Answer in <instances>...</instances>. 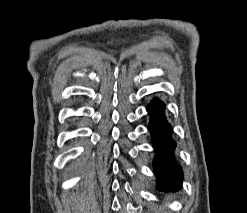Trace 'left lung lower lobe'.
<instances>
[{"mask_svg":"<svg viewBox=\"0 0 247 213\" xmlns=\"http://www.w3.org/2000/svg\"><path fill=\"white\" fill-rule=\"evenodd\" d=\"M164 109L165 105L159 99H153L147 106L151 115L148 128L156 151L153 166L158 178L157 189L166 192L181 187L183 174L172 154L176 144L170 136L171 127L166 121Z\"/></svg>","mask_w":247,"mask_h":213,"instance_id":"1","label":"left lung lower lobe"}]
</instances>
